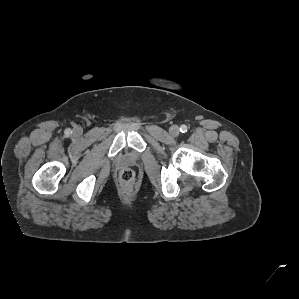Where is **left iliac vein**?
Segmentation results:
<instances>
[{"mask_svg": "<svg viewBox=\"0 0 299 299\" xmlns=\"http://www.w3.org/2000/svg\"><path fill=\"white\" fill-rule=\"evenodd\" d=\"M169 133L172 135V136H178L179 133H180V129L177 125H173L170 127L169 129Z\"/></svg>", "mask_w": 299, "mask_h": 299, "instance_id": "obj_1", "label": "left iliac vein"}]
</instances>
